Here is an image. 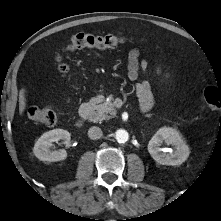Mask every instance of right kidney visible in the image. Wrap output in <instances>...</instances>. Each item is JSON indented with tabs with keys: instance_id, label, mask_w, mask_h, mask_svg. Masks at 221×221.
Wrapping results in <instances>:
<instances>
[{
	"instance_id": "right-kidney-1",
	"label": "right kidney",
	"mask_w": 221,
	"mask_h": 221,
	"mask_svg": "<svg viewBox=\"0 0 221 221\" xmlns=\"http://www.w3.org/2000/svg\"><path fill=\"white\" fill-rule=\"evenodd\" d=\"M70 138V133L63 129L48 131L37 140L33 148V153L41 161L55 162L64 160L67 157V152L64 149L51 151L50 147L53 142L59 140H65L68 144Z\"/></svg>"
}]
</instances>
